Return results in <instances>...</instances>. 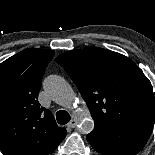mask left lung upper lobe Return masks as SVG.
<instances>
[{
	"instance_id": "1",
	"label": "left lung upper lobe",
	"mask_w": 155,
	"mask_h": 155,
	"mask_svg": "<svg viewBox=\"0 0 155 155\" xmlns=\"http://www.w3.org/2000/svg\"><path fill=\"white\" fill-rule=\"evenodd\" d=\"M56 61L78 87L95 125L154 122L152 85L128 57L87 47L60 54Z\"/></svg>"
}]
</instances>
